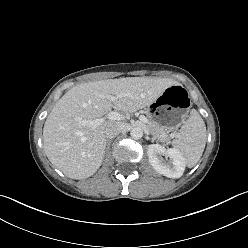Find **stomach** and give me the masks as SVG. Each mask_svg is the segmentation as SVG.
I'll use <instances>...</instances> for the list:
<instances>
[{
  "label": "stomach",
  "instance_id": "0dacf381",
  "mask_svg": "<svg viewBox=\"0 0 248 248\" xmlns=\"http://www.w3.org/2000/svg\"><path fill=\"white\" fill-rule=\"evenodd\" d=\"M191 102L188 91L181 84L168 87L148 106L149 120L169 131L178 130L188 117Z\"/></svg>",
  "mask_w": 248,
  "mask_h": 248
}]
</instances>
